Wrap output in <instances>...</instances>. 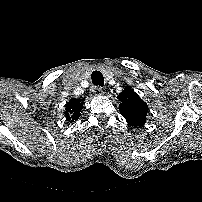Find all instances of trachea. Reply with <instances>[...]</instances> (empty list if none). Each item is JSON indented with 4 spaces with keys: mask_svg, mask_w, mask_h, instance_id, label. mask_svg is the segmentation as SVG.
Returning a JSON list of instances; mask_svg holds the SVG:
<instances>
[{
    "mask_svg": "<svg viewBox=\"0 0 202 202\" xmlns=\"http://www.w3.org/2000/svg\"><path fill=\"white\" fill-rule=\"evenodd\" d=\"M92 83L94 85L103 86L104 85V77L101 72L93 71L91 75Z\"/></svg>",
    "mask_w": 202,
    "mask_h": 202,
    "instance_id": "1",
    "label": "trachea"
}]
</instances>
